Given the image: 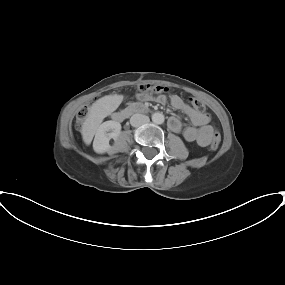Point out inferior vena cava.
Masks as SVG:
<instances>
[{
	"label": "inferior vena cava",
	"mask_w": 285,
	"mask_h": 285,
	"mask_svg": "<svg viewBox=\"0 0 285 285\" xmlns=\"http://www.w3.org/2000/svg\"><path fill=\"white\" fill-rule=\"evenodd\" d=\"M149 121H150L149 117L143 114H134L130 118V123L133 127L142 126L144 124L149 123Z\"/></svg>",
	"instance_id": "inferior-vena-cava-1"
}]
</instances>
